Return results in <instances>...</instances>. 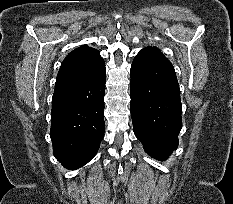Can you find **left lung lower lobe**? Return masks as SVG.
<instances>
[{"label": "left lung lower lobe", "mask_w": 233, "mask_h": 204, "mask_svg": "<svg viewBox=\"0 0 233 204\" xmlns=\"http://www.w3.org/2000/svg\"><path fill=\"white\" fill-rule=\"evenodd\" d=\"M130 94L136 137L150 156L166 159L178 146L182 119L175 70L161 51L148 47L136 55Z\"/></svg>", "instance_id": "0a47b994"}]
</instances>
